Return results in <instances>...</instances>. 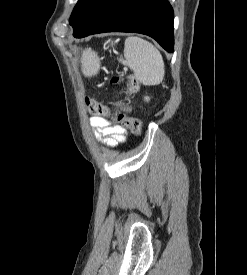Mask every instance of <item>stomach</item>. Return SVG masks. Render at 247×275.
Returning a JSON list of instances; mask_svg holds the SVG:
<instances>
[{
	"label": "stomach",
	"mask_w": 247,
	"mask_h": 275,
	"mask_svg": "<svg viewBox=\"0 0 247 275\" xmlns=\"http://www.w3.org/2000/svg\"><path fill=\"white\" fill-rule=\"evenodd\" d=\"M100 66V61L97 56L92 51H86L82 58V71L85 75H94Z\"/></svg>",
	"instance_id": "0dacf381"
}]
</instances>
